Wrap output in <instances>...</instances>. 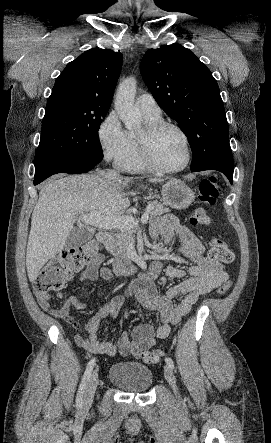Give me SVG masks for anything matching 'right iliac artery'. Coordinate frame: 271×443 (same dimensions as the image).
Returning <instances> with one entry per match:
<instances>
[{
    "label": "right iliac artery",
    "instance_id": "82829eb1",
    "mask_svg": "<svg viewBox=\"0 0 271 443\" xmlns=\"http://www.w3.org/2000/svg\"><path fill=\"white\" fill-rule=\"evenodd\" d=\"M95 361H96V359L93 358L87 364L85 373L83 375V378H82V381H81V384L79 386L78 393H77V396H76V405L78 407H80L82 402H83V395H84L85 387H86L87 381H88V379H89V377L91 375V372H92V370H93V368L95 366Z\"/></svg>",
    "mask_w": 271,
    "mask_h": 443
}]
</instances>
